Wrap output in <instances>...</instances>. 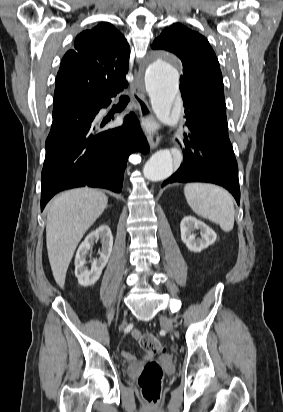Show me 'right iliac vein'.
<instances>
[{"mask_svg": "<svg viewBox=\"0 0 283 412\" xmlns=\"http://www.w3.org/2000/svg\"><path fill=\"white\" fill-rule=\"evenodd\" d=\"M125 324V320L123 321V325Z\"/></svg>", "mask_w": 283, "mask_h": 412, "instance_id": "63e3f726", "label": "right iliac vein"}]
</instances>
